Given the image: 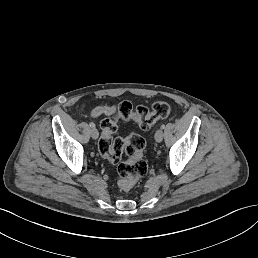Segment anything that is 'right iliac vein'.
Wrapping results in <instances>:
<instances>
[{
	"mask_svg": "<svg viewBox=\"0 0 258 258\" xmlns=\"http://www.w3.org/2000/svg\"><path fill=\"white\" fill-rule=\"evenodd\" d=\"M90 134H91L92 138L95 139V140L98 139L99 136H100L96 127H91L90 128Z\"/></svg>",
	"mask_w": 258,
	"mask_h": 258,
	"instance_id": "63e3f726",
	"label": "right iliac vein"
}]
</instances>
